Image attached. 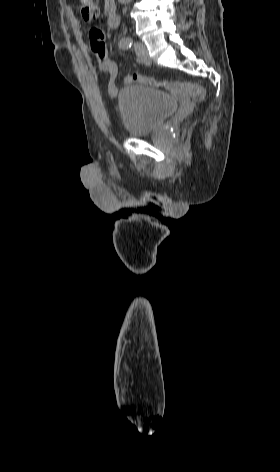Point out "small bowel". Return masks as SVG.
<instances>
[{"mask_svg":"<svg viewBox=\"0 0 280 472\" xmlns=\"http://www.w3.org/2000/svg\"><path fill=\"white\" fill-rule=\"evenodd\" d=\"M90 48L96 59V69L106 73L109 77L108 94L110 98H115L118 94L116 80L118 76V66L111 61L105 49V34L102 29L93 27L89 30ZM132 81L131 75L125 77V83Z\"/></svg>","mask_w":280,"mask_h":472,"instance_id":"small-bowel-1","label":"small bowel"}]
</instances>
